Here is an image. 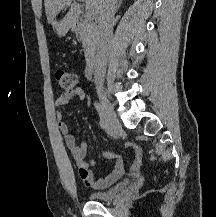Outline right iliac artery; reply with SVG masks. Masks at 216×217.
Instances as JSON below:
<instances>
[{
	"label": "right iliac artery",
	"mask_w": 216,
	"mask_h": 217,
	"mask_svg": "<svg viewBox=\"0 0 216 217\" xmlns=\"http://www.w3.org/2000/svg\"><path fill=\"white\" fill-rule=\"evenodd\" d=\"M94 106L99 114L100 117V127L102 129H107L108 128V123H107V119H106V115L103 109V106L101 105V103L99 102H95Z\"/></svg>",
	"instance_id": "right-iliac-artery-1"
}]
</instances>
